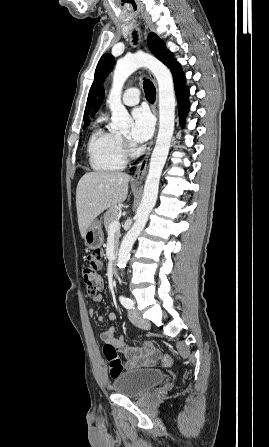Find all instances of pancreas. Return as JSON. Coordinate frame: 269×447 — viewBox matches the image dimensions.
Wrapping results in <instances>:
<instances>
[{
    "instance_id": "obj_1",
    "label": "pancreas",
    "mask_w": 269,
    "mask_h": 447,
    "mask_svg": "<svg viewBox=\"0 0 269 447\" xmlns=\"http://www.w3.org/2000/svg\"><path fill=\"white\" fill-rule=\"evenodd\" d=\"M118 216H119V212H118V210H115V208H109V210H107V212H105V214L103 216V220H104V227H105L106 231H109V225L111 224V222H114V220H117ZM119 237H120V231H115V235H114L115 245H114V247H117ZM114 251H115V249H114Z\"/></svg>"
}]
</instances>
